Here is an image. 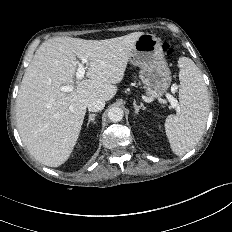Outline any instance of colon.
<instances>
[{
	"instance_id": "obj_1",
	"label": "colon",
	"mask_w": 232,
	"mask_h": 232,
	"mask_svg": "<svg viewBox=\"0 0 232 232\" xmlns=\"http://www.w3.org/2000/svg\"><path fill=\"white\" fill-rule=\"evenodd\" d=\"M163 52L166 56H170L174 53V48L169 43L163 44Z\"/></svg>"
}]
</instances>
